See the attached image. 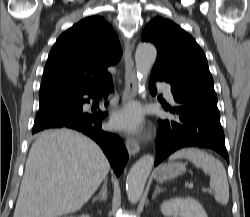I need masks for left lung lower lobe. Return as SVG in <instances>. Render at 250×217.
Listing matches in <instances>:
<instances>
[{"label":"left lung lower lobe","mask_w":250,"mask_h":217,"mask_svg":"<svg viewBox=\"0 0 250 217\" xmlns=\"http://www.w3.org/2000/svg\"><path fill=\"white\" fill-rule=\"evenodd\" d=\"M156 80L164 81L159 76L151 75L149 89L153 95L156 94ZM171 91L176 105H163L173 116L158 120L155 165L186 147L212 149L229 163L215 91L173 85Z\"/></svg>","instance_id":"left-lung-lower-lobe-1"}]
</instances>
